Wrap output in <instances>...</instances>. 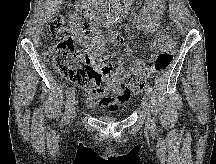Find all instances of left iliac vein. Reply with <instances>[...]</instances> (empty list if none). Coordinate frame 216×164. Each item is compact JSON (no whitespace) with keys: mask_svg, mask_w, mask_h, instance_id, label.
I'll return each mask as SVG.
<instances>
[{"mask_svg":"<svg viewBox=\"0 0 216 164\" xmlns=\"http://www.w3.org/2000/svg\"><path fill=\"white\" fill-rule=\"evenodd\" d=\"M149 94L146 92L143 96V100H142V108H143V112L145 115V120H146V126L147 127H151L153 120L150 116V104H149Z\"/></svg>","mask_w":216,"mask_h":164,"instance_id":"4c4485c4","label":"left iliac vein"}]
</instances>
